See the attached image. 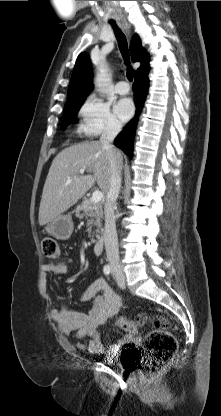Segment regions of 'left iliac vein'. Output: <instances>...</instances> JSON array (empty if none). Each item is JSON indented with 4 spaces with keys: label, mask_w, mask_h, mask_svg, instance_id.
<instances>
[{
    "label": "left iliac vein",
    "mask_w": 221,
    "mask_h": 416,
    "mask_svg": "<svg viewBox=\"0 0 221 416\" xmlns=\"http://www.w3.org/2000/svg\"><path fill=\"white\" fill-rule=\"evenodd\" d=\"M117 284L120 288H124L125 287V277L122 273H119L117 278H116Z\"/></svg>",
    "instance_id": "4c4485c4"
}]
</instances>
